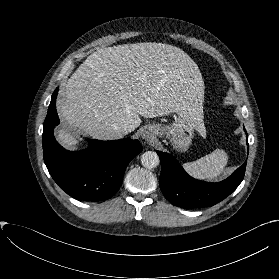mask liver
I'll use <instances>...</instances> for the list:
<instances>
[{"mask_svg": "<svg viewBox=\"0 0 279 279\" xmlns=\"http://www.w3.org/2000/svg\"><path fill=\"white\" fill-rule=\"evenodd\" d=\"M204 82L197 64L170 44L145 42L101 48L68 79L57 111L68 129L58 141L72 149L79 144L70 130L79 129L99 140L120 139V129L154 118L202 111ZM199 132L204 137L202 125Z\"/></svg>", "mask_w": 279, "mask_h": 279, "instance_id": "obj_1", "label": "liver"}]
</instances>
